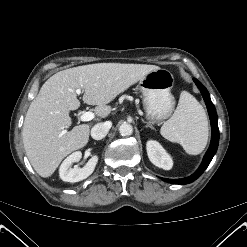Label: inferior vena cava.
<instances>
[{"mask_svg": "<svg viewBox=\"0 0 247 247\" xmlns=\"http://www.w3.org/2000/svg\"><path fill=\"white\" fill-rule=\"evenodd\" d=\"M111 124L108 122L98 123L91 129V137L95 140L103 139L109 132Z\"/></svg>", "mask_w": 247, "mask_h": 247, "instance_id": "1", "label": "inferior vena cava"}]
</instances>
